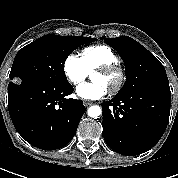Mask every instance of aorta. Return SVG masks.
<instances>
[{
    "mask_svg": "<svg viewBox=\"0 0 178 178\" xmlns=\"http://www.w3.org/2000/svg\"><path fill=\"white\" fill-rule=\"evenodd\" d=\"M87 113L90 117L96 119L102 114V109L97 105H93L88 108Z\"/></svg>",
    "mask_w": 178,
    "mask_h": 178,
    "instance_id": "762f6f07",
    "label": "aorta"
}]
</instances>
